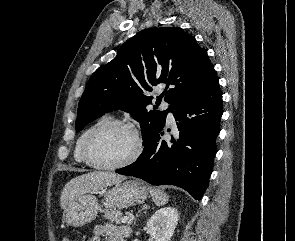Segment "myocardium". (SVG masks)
Returning <instances> with one entry per match:
<instances>
[{
    "instance_id": "1",
    "label": "myocardium",
    "mask_w": 295,
    "mask_h": 241,
    "mask_svg": "<svg viewBox=\"0 0 295 241\" xmlns=\"http://www.w3.org/2000/svg\"><path fill=\"white\" fill-rule=\"evenodd\" d=\"M115 127H122V128L128 129L132 132V134L134 135L135 141H136L135 150H134L133 154L123 162L116 163V164L100 163V162L96 161L92 155L93 145H94L95 141L99 138L100 135H102L104 132H106L112 128H115ZM143 150H144V141H143L141 134L137 130V128L133 124H131L127 121L112 119L110 121H107V122L99 125L89 135V137L87 138V140L84 144V147H83V158H84V161L86 162V164L92 168H95L98 170H118V169H122L124 167H127V166L135 163L142 155Z\"/></svg>"
}]
</instances>
